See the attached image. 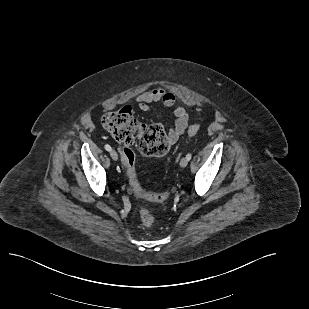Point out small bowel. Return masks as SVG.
<instances>
[{
	"label": "small bowel",
	"mask_w": 309,
	"mask_h": 309,
	"mask_svg": "<svg viewBox=\"0 0 309 309\" xmlns=\"http://www.w3.org/2000/svg\"><path fill=\"white\" fill-rule=\"evenodd\" d=\"M136 101L139 109L143 112L149 111L152 103H161L165 107L172 108L175 122L167 133L169 144L176 143L185 133L188 127V112L177 102L175 96L165 88L156 87L150 91L142 92L136 97Z\"/></svg>",
	"instance_id": "c3829d8e"
}]
</instances>
